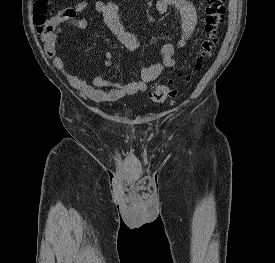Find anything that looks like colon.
Segmentation results:
<instances>
[{
  "label": "colon",
  "mask_w": 275,
  "mask_h": 263,
  "mask_svg": "<svg viewBox=\"0 0 275 263\" xmlns=\"http://www.w3.org/2000/svg\"><path fill=\"white\" fill-rule=\"evenodd\" d=\"M48 0H37L34 4V23L38 32H44L49 25L51 11ZM225 0H205V25L204 38L202 39L198 52L193 59L192 67L183 75L176 78H169L165 82L155 84L150 92L149 98L154 103H163L176 94V86L189 83L194 74L199 72L208 59L218 42L219 35L225 24Z\"/></svg>",
  "instance_id": "colon-1"
}]
</instances>
